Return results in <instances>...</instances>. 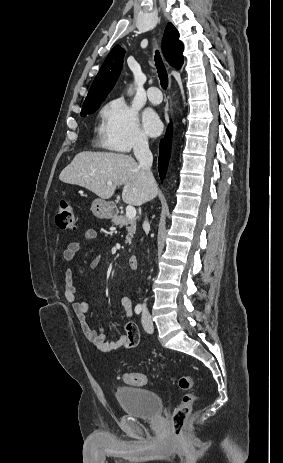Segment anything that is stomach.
<instances>
[{"label":"stomach","mask_w":283,"mask_h":463,"mask_svg":"<svg viewBox=\"0 0 283 463\" xmlns=\"http://www.w3.org/2000/svg\"><path fill=\"white\" fill-rule=\"evenodd\" d=\"M91 211L99 219H109L115 213V207L111 202L97 198L91 204Z\"/></svg>","instance_id":"0dacf381"}]
</instances>
